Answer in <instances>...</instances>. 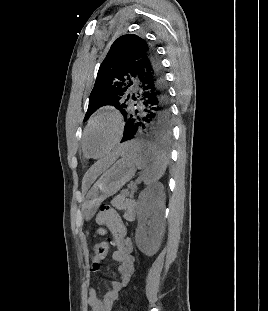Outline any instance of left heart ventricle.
<instances>
[{"mask_svg": "<svg viewBox=\"0 0 268 311\" xmlns=\"http://www.w3.org/2000/svg\"><path fill=\"white\" fill-rule=\"evenodd\" d=\"M116 133V126L112 119L102 118L89 130L86 137L87 151L92 155H99L109 146Z\"/></svg>", "mask_w": 268, "mask_h": 311, "instance_id": "obj_1", "label": "left heart ventricle"}]
</instances>
